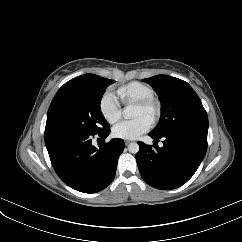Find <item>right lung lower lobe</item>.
Returning a JSON list of instances; mask_svg holds the SVG:
<instances>
[{"mask_svg": "<svg viewBox=\"0 0 242 242\" xmlns=\"http://www.w3.org/2000/svg\"><path fill=\"white\" fill-rule=\"evenodd\" d=\"M110 129L98 134L106 138ZM95 134L81 129H65L45 134L52 166L61 180L84 193H96L111 184L117 162L125 148L122 139H112L99 148L92 145Z\"/></svg>", "mask_w": 242, "mask_h": 242, "instance_id": "98d812e1", "label": "right lung lower lobe"}]
</instances>
